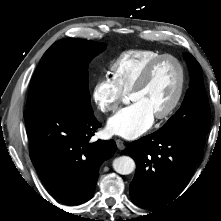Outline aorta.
I'll use <instances>...</instances> for the list:
<instances>
[{
	"mask_svg": "<svg viewBox=\"0 0 221 221\" xmlns=\"http://www.w3.org/2000/svg\"><path fill=\"white\" fill-rule=\"evenodd\" d=\"M114 170L122 175H128L135 169V162L129 156H120L113 160Z\"/></svg>",
	"mask_w": 221,
	"mask_h": 221,
	"instance_id": "1",
	"label": "aorta"
}]
</instances>
